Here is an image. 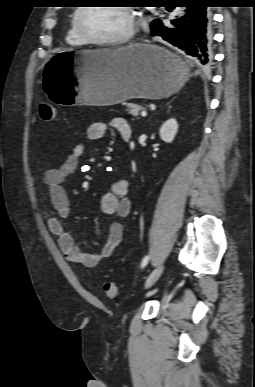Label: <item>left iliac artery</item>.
Segmentation results:
<instances>
[{
  "instance_id": "left-iliac-artery-1",
  "label": "left iliac artery",
  "mask_w": 255,
  "mask_h": 387,
  "mask_svg": "<svg viewBox=\"0 0 255 387\" xmlns=\"http://www.w3.org/2000/svg\"><path fill=\"white\" fill-rule=\"evenodd\" d=\"M149 261V256H145L141 262V267L144 268Z\"/></svg>"
}]
</instances>
